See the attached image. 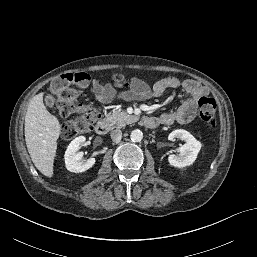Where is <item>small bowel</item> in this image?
Instances as JSON below:
<instances>
[{"mask_svg": "<svg viewBox=\"0 0 257 257\" xmlns=\"http://www.w3.org/2000/svg\"><path fill=\"white\" fill-rule=\"evenodd\" d=\"M181 89L186 99L174 112L163 113L158 119L159 124L170 126L174 123L187 124L191 122L197 112L198 101L208 93L206 87L195 80H179L175 77H167L157 81L149 87L144 81L133 78L126 91L118 93L110 84H102L99 81L93 83V94L101 103H110L116 99L131 101L144 100L151 96H162L168 89Z\"/></svg>", "mask_w": 257, "mask_h": 257, "instance_id": "1", "label": "small bowel"}]
</instances>
